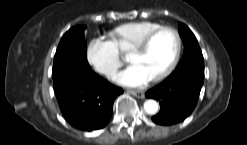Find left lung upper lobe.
Instances as JSON below:
<instances>
[{
	"mask_svg": "<svg viewBox=\"0 0 247 145\" xmlns=\"http://www.w3.org/2000/svg\"><path fill=\"white\" fill-rule=\"evenodd\" d=\"M179 34L184 42V55L180 62L191 59L203 60V55L196 37L192 31L183 23H179Z\"/></svg>",
	"mask_w": 247,
	"mask_h": 145,
	"instance_id": "1",
	"label": "left lung upper lobe"
}]
</instances>
